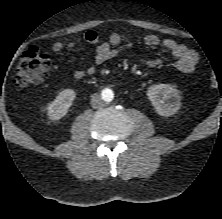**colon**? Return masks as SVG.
Here are the masks:
<instances>
[{
  "instance_id": "colon-1",
  "label": "colon",
  "mask_w": 222,
  "mask_h": 219,
  "mask_svg": "<svg viewBox=\"0 0 222 219\" xmlns=\"http://www.w3.org/2000/svg\"><path fill=\"white\" fill-rule=\"evenodd\" d=\"M50 57L48 54L36 49L26 50L20 60L12 77V83L16 88H24L28 85L43 82L49 75ZM210 82L216 83V77L211 74Z\"/></svg>"
}]
</instances>
